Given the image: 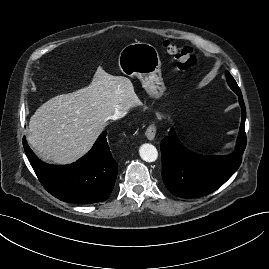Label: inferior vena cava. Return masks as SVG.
I'll return each mask as SVG.
<instances>
[{"instance_id":"obj_1","label":"inferior vena cava","mask_w":269,"mask_h":269,"mask_svg":"<svg viewBox=\"0 0 269 269\" xmlns=\"http://www.w3.org/2000/svg\"><path fill=\"white\" fill-rule=\"evenodd\" d=\"M125 114H126V113H124V112H119V111H117L116 113H114V114L110 117V119H112V120H117V119H120V118L124 117Z\"/></svg>"}]
</instances>
